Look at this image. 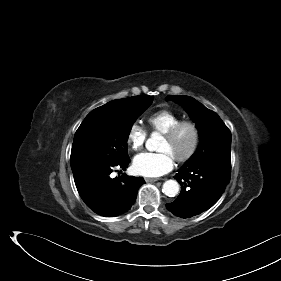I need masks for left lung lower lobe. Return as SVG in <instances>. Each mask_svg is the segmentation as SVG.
Segmentation results:
<instances>
[{"instance_id":"1","label":"left lung lower lobe","mask_w":281,"mask_h":281,"mask_svg":"<svg viewBox=\"0 0 281 281\" xmlns=\"http://www.w3.org/2000/svg\"><path fill=\"white\" fill-rule=\"evenodd\" d=\"M231 160L210 159L184 165L174 178L182 185L167 209L181 218L196 216L212 207L230 180Z\"/></svg>"}]
</instances>
